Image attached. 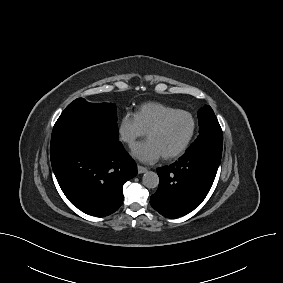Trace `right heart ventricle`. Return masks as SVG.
Here are the masks:
<instances>
[{"label": "right heart ventricle", "instance_id": "e07e8e85", "mask_svg": "<svg viewBox=\"0 0 283 283\" xmlns=\"http://www.w3.org/2000/svg\"><path fill=\"white\" fill-rule=\"evenodd\" d=\"M174 111H177V109L171 106L150 102L143 104L136 112V116L144 131L148 132L165 115Z\"/></svg>", "mask_w": 283, "mask_h": 283}]
</instances>
